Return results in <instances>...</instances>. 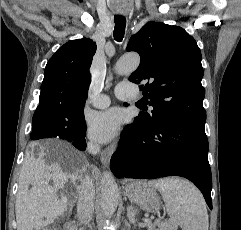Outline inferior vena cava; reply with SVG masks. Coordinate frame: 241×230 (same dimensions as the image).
Returning a JSON list of instances; mask_svg holds the SVG:
<instances>
[{
  "instance_id": "inferior-vena-cava-1",
  "label": "inferior vena cava",
  "mask_w": 241,
  "mask_h": 230,
  "mask_svg": "<svg viewBox=\"0 0 241 230\" xmlns=\"http://www.w3.org/2000/svg\"><path fill=\"white\" fill-rule=\"evenodd\" d=\"M88 150L92 153L99 151L98 145L90 144ZM95 189L92 180L86 176L80 185L77 202V217L83 224H88L94 212Z\"/></svg>"
}]
</instances>
